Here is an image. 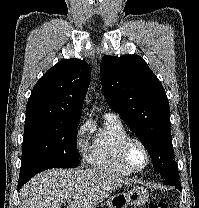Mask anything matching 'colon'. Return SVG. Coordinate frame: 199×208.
Segmentation results:
<instances>
[{"instance_id":"5ec220e1","label":"colon","mask_w":199,"mask_h":208,"mask_svg":"<svg viewBox=\"0 0 199 208\" xmlns=\"http://www.w3.org/2000/svg\"><path fill=\"white\" fill-rule=\"evenodd\" d=\"M147 208H168V207L163 202H152L148 205Z\"/></svg>"}]
</instances>
